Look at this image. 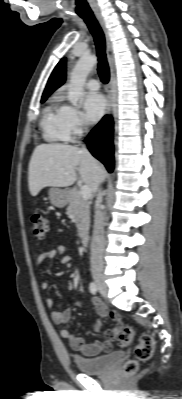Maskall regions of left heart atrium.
Returning <instances> with one entry per match:
<instances>
[{"label":"left heart atrium","mask_w":182,"mask_h":399,"mask_svg":"<svg viewBox=\"0 0 182 399\" xmlns=\"http://www.w3.org/2000/svg\"><path fill=\"white\" fill-rule=\"evenodd\" d=\"M106 101L100 93H89L84 100L85 116L91 122L98 121L104 114Z\"/></svg>","instance_id":"left-heart-atrium-1"}]
</instances>
